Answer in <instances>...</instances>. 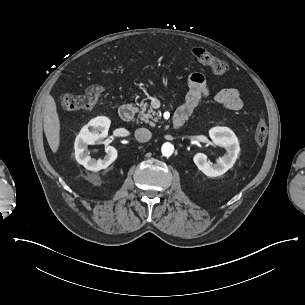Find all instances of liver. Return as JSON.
<instances>
[{
	"instance_id": "6515ba94",
	"label": "liver",
	"mask_w": 305,
	"mask_h": 305,
	"mask_svg": "<svg viewBox=\"0 0 305 305\" xmlns=\"http://www.w3.org/2000/svg\"><path fill=\"white\" fill-rule=\"evenodd\" d=\"M43 114H44V132L48 144L53 152H57L59 147L60 123L56 111V104L51 95H47L45 98V106H44Z\"/></svg>"
}]
</instances>
